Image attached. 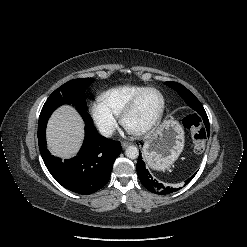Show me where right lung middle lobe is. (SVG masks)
Wrapping results in <instances>:
<instances>
[{"instance_id":"1","label":"right lung middle lobe","mask_w":247,"mask_h":247,"mask_svg":"<svg viewBox=\"0 0 247 247\" xmlns=\"http://www.w3.org/2000/svg\"><path fill=\"white\" fill-rule=\"evenodd\" d=\"M94 82L93 78H79L66 82L56 89L47 99V101H62L70 103L78 108L87 110L85 100L86 88Z\"/></svg>"}]
</instances>
